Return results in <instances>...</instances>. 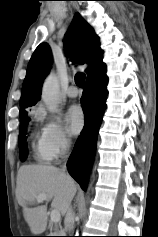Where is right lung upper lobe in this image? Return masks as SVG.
I'll return each mask as SVG.
<instances>
[{"label": "right lung upper lobe", "instance_id": "1", "mask_svg": "<svg viewBox=\"0 0 158 237\" xmlns=\"http://www.w3.org/2000/svg\"><path fill=\"white\" fill-rule=\"evenodd\" d=\"M64 43L66 50L69 45L72 46L81 64L89 63V67L85 70L87 79L105 69L99 37L79 13L75 14ZM51 64V50L48 44L42 43L36 48L28 64L21 92L20 118L27 116L25 108L35 105L40 100L43 80L49 73Z\"/></svg>", "mask_w": 158, "mask_h": 237}]
</instances>
